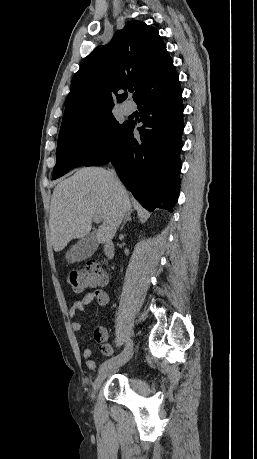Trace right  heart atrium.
Listing matches in <instances>:
<instances>
[{"instance_id": "d8ad5b80", "label": "right heart atrium", "mask_w": 257, "mask_h": 459, "mask_svg": "<svg viewBox=\"0 0 257 459\" xmlns=\"http://www.w3.org/2000/svg\"><path fill=\"white\" fill-rule=\"evenodd\" d=\"M104 137H105V130H104V129H100V130L98 131V133H97V138H98L99 140H102V139H104Z\"/></svg>"}]
</instances>
